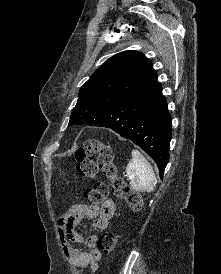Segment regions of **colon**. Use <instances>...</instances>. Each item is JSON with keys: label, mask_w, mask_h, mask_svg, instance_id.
<instances>
[{"label": "colon", "mask_w": 221, "mask_h": 274, "mask_svg": "<svg viewBox=\"0 0 221 274\" xmlns=\"http://www.w3.org/2000/svg\"><path fill=\"white\" fill-rule=\"evenodd\" d=\"M75 158L77 172L94 181L85 191V197L91 203H103L109 194L108 185L98 180L99 173L102 172L110 180L112 191L117 197L124 199L132 210L141 209L143 204L141 194L130 188L118 175L113 152L109 146L99 140H88L78 149ZM115 246L116 236L112 232L103 233L97 240L98 249L106 255H111Z\"/></svg>", "instance_id": "5ec220e1"}]
</instances>
